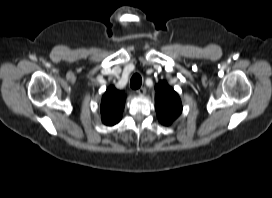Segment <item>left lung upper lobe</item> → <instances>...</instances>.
Segmentation results:
<instances>
[{
  "label": "left lung upper lobe",
  "instance_id": "obj_1",
  "mask_svg": "<svg viewBox=\"0 0 272 198\" xmlns=\"http://www.w3.org/2000/svg\"><path fill=\"white\" fill-rule=\"evenodd\" d=\"M155 107L160 122L170 125L182 112L178 94L165 81L156 86Z\"/></svg>",
  "mask_w": 272,
  "mask_h": 198
}]
</instances>
